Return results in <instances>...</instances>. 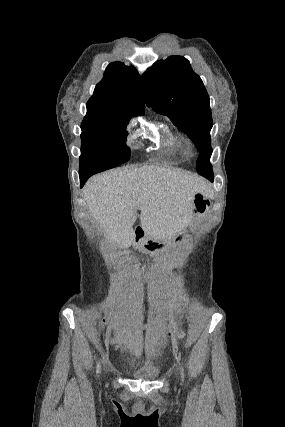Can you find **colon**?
<instances>
[{"instance_id": "colon-1", "label": "colon", "mask_w": 285, "mask_h": 427, "mask_svg": "<svg viewBox=\"0 0 285 427\" xmlns=\"http://www.w3.org/2000/svg\"><path fill=\"white\" fill-rule=\"evenodd\" d=\"M176 337H177V339H181L182 337H183V332L182 331H178V332H176ZM134 356L132 355V356H130V360H132V361H134Z\"/></svg>"}]
</instances>
